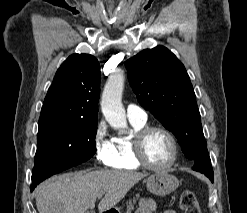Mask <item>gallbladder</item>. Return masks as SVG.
<instances>
[{"instance_id":"bac80fb5","label":"gallbladder","mask_w":247,"mask_h":213,"mask_svg":"<svg viewBox=\"0 0 247 213\" xmlns=\"http://www.w3.org/2000/svg\"><path fill=\"white\" fill-rule=\"evenodd\" d=\"M86 213H94V212H92V211H87Z\"/></svg>"}]
</instances>
